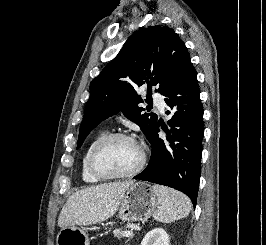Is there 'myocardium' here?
Listing matches in <instances>:
<instances>
[{
	"label": "myocardium",
	"mask_w": 266,
	"mask_h": 245,
	"mask_svg": "<svg viewBox=\"0 0 266 245\" xmlns=\"http://www.w3.org/2000/svg\"><path fill=\"white\" fill-rule=\"evenodd\" d=\"M115 139H125L130 140L137 144L140 152L139 161L136 165V167L131 170L128 173L125 174H110L105 171H103L98 164V156L101 152V150L112 140ZM146 160V153L144 148L138 143L136 139H134L132 136L124 133V132H108L105 135H103L100 139L96 141V143L93 145L90 154H89V168L91 172L99 179L101 180H119V179H126L131 178L135 175H137L142 168L144 167Z\"/></svg>",
	"instance_id": "myocardium-1"
}]
</instances>
